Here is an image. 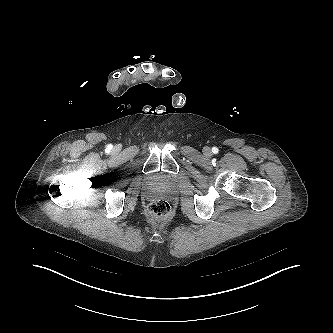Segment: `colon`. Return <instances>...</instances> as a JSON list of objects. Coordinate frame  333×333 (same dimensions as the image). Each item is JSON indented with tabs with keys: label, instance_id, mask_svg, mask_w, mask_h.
Segmentation results:
<instances>
[{
	"label": "colon",
	"instance_id": "5ec220e1",
	"mask_svg": "<svg viewBox=\"0 0 333 333\" xmlns=\"http://www.w3.org/2000/svg\"><path fill=\"white\" fill-rule=\"evenodd\" d=\"M149 213L157 220L167 219L171 214L170 204L163 199L154 200L148 207Z\"/></svg>",
	"mask_w": 333,
	"mask_h": 333
}]
</instances>
